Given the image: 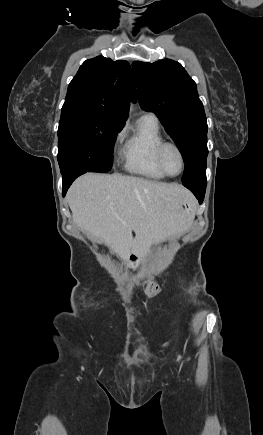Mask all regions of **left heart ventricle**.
Listing matches in <instances>:
<instances>
[{"label": "left heart ventricle", "mask_w": 263, "mask_h": 435, "mask_svg": "<svg viewBox=\"0 0 263 435\" xmlns=\"http://www.w3.org/2000/svg\"><path fill=\"white\" fill-rule=\"evenodd\" d=\"M163 162L166 170L171 174H177L181 169V160L174 148H167L163 155Z\"/></svg>", "instance_id": "obj_1"}]
</instances>
